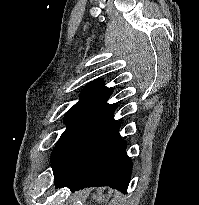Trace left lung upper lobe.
Listing matches in <instances>:
<instances>
[{
    "label": "left lung upper lobe",
    "instance_id": "left-lung-upper-lobe-1",
    "mask_svg": "<svg viewBox=\"0 0 199 205\" xmlns=\"http://www.w3.org/2000/svg\"><path fill=\"white\" fill-rule=\"evenodd\" d=\"M104 84L102 79L87 84L79 102L65 114L66 130L50 157L55 180L67 174L90 134L117 108V104L107 103L113 89Z\"/></svg>",
    "mask_w": 199,
    "mask_h": 205
}]
</instances>
